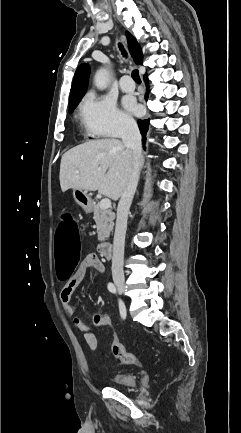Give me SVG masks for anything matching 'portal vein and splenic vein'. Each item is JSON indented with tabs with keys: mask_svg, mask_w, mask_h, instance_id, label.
Instances as JSON below:
<instances>
[{
	"mask_svg": "<svg viewBox=\"0 0 241 433\" xmlns=\"http://www.w3.org/2000/svg\"><path fill=\"white\" fill-rule=\"evenodd\" d=\"M99 205L102 209H108L111 207V200L108 198H104L100 201Z\"/></svg>",
	"mask_w": 241,
	"mask_h": 433,
	"instance_id": "obj_1",
	"label": "portal vein and splenic vein"
}]
</instances>
